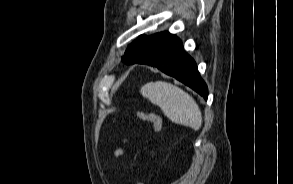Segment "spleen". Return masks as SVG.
<instances>
[{
  "label": "spleen",
  "instance_id": "obj_1",
  "mask_svg": "<svg viewBox=\"0 0 293 184\" xmlns=\"http://www.w3.org/2000/svg\"><path fill=\"white\" fill-rule=\"evenodd\" d=\"M141 94L159 106L173 123L200 129L201 110L194 98L183 89L165 81H156L145 84Z\"/></svg>",
  "mask_w": 293,
  "mask_h": 184
}]
</instances>
